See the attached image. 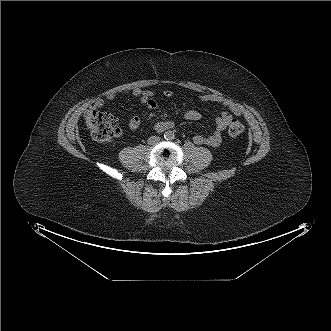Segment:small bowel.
Returning a JSON list of instances; mask_svg holds the SVG:
<instances>
[{"label": "small bowel", "mask_w": 331, "mask_h": 331, "mask_svg": "<svg viewBox=\"0 0 331 331\" xmlns=\"http://www.w3.org/2000/svg\"><path fill=\"white\" fill-rule=\"evenodd\" d=\"M124 94L137 98L141 103L145 104L149 110H154L158 106L155 99V93L153 91L133 88L126 91ZM173 94L174 93L171 90H164L161 92V96L166 98L173 96ZM117 95L118 94L114 92L108 93L106 95V99L112 101L116 99ZM197 99L201 102L220 104L226 108V110L222 111L221 114L215 119V126L210 136L204 137L203 135L196 134L193 137V142L196 145H207L209 147L216 148L221 144L222 132L228 127L230 121L234 117L241 114V109L232 100L217 94L199 95ZM104 103L105 102L102 98H98L91 104V107L95 109L102 108ZM183 117L186 121H199L202 118V114L195 109L188 108ZM140 124L141 118L139 116H132L128 120V127L131 130H137ZM168 124H171V122L160 121L156 123L155 129L158 132H162L166 130V126Z\"/></svg>", "instance_id": "obj_1"}]
</instances>
